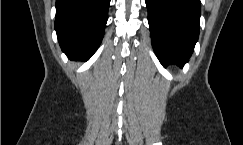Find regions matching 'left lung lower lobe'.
Segmentation results:
<instances>
[{
    "label": "left lung lower lobe",
    "instance_id": "1",
    "mask_svg": "<svg viewBox=\"0 0 243 145\" xmlns=\"http://www.w3.org/2000/svg\"><path fill=\"white\" fill-rule=\"evenodd\" d=\"M152 46L160 63L183 66L199 36L200 0H145Z\"/></svg>",
    "mask_w": 243,
    "mask_h": 145
}]
</instances>
